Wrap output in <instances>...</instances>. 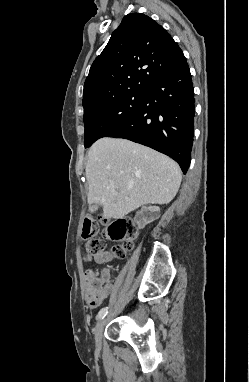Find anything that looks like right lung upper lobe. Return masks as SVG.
<instances>
[{"label": "right lung upper lobe", "instance_id": "obj_1", "mask_svg": "<svg viewBox=\"0 0 249 382\" xmlns=\"http://www.w3.org/2000/svg\"><path fill=\"white\" fill-rule=\"evenodd\" d=\"M185 61L182 50L161 25L144 14H128L90 68L83 107L146 91Z\"/></svg>", "mask_w": 249, "mask_h": 382}]
</instances>
